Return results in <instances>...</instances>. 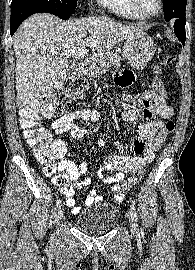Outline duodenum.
Segmentation results:
<instances>
[{
	"instance_id": "1",
	"label": "duodenum",
	"mask_w": 195,
	"mask_h": 270,
	"mask_svg": "<svg viewBox=\"0 0 195 270\" xmlns=\"http://www.w3.org/2000/svg\"><path fill=\"white\" fill-rule=\"evenodd\" d=\"M79 73L81 74V75H86V73H87V68H86V66L83 64V65H81L80 67H79Z\"/></svg>"
}]
</instances>
